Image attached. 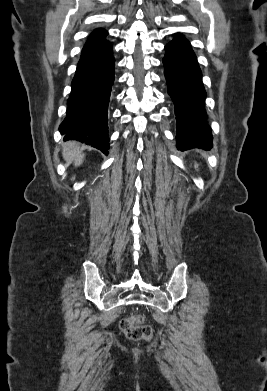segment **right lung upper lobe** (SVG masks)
Wrapping results in <instances>:
<instances>
[{
  "label": "right lung upper lobe",
  "mask_w": 267,
  "mask_h": 391,
  "mask_svg": "<svg viewBox=\"0 0 267 391\" xmlns=\"http://www.w3.org/2000/svg\"><path fill=\"white\" fill-rule=\"evenodd\" d=\"M107 32L103 29H96L89 37L88 41L86 42L82 54H86L88 52H91L107 43H109L106 40Z\"/></svg>",
  "instance_id": "1"
}]
</instances>
